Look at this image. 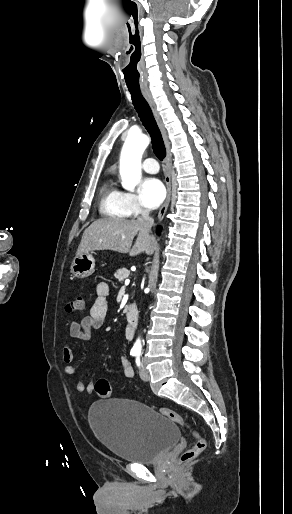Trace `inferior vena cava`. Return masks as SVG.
Here are the masks:
<instances>
[{
	"instance_id": "obj_1",
	"label": "inferior vena cava",
	"mask_w": 292,
	"mask_h": 514,
	"mask_svg": "<svg viewBox=\"0 0 292 514\" xmlns=\"http://www.w3.org/2000/svg\"><path fill=\"white\" fill-rule=\"evenodd\" d=\"M139 220H142V224H144V228H145L147 234H149V232H151V228L154 224L153 218H150V216H149V210H142L141 218H139Z\"/></svg>"
}]
</instances>
